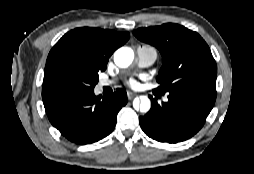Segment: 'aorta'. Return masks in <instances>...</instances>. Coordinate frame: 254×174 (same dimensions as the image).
<instances>
[{
  "mask_svg": "<svg viewBox=\"0 0 254 174\" xmlns=\"http://www.w3.org/2000/svg\"><path fill=\"white\" fill-rule=\"evenodd\" d=\"M134 59V52L131 48L121 47L114 54V62L120 68L128 67ZM133 106L136 110L142 113H147L151 108V102L148 97L141 96L133 101Z\"/></svg>",
  "mask_w": 254,
  "mask_h": 174,
  "instance_id": "762f6f07",
  "label": "aorta"
}]
</instances>
